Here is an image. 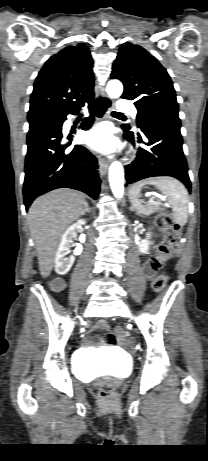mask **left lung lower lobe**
Instances as JSON below:
<instances>
[{
  "label": "left lung lower lobe",
  "instance_id": "obj_1",
  "mask_svg": "<svg viewBox=\"0 0 208 461\" xmlns=\"http://www.w3.org/2000/svg\"><path fill=\"white\" fill-rule=\"evenodd\" d=\"M179 117L157 115L140 125V133L125 129V137L138 147L136 159L125 168L126 185L148 177H175L191 190L187 162L182 149Z\"/></svg>",
  "mask_w": 208,
  "mask_h": 461
}]
</instances>
